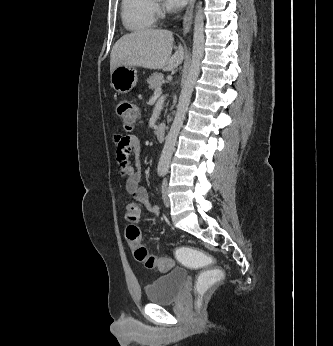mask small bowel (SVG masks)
<instances>
[{
  "label": "small bowel",
  "instance_id": "small-bowel-1",
  "mask_svg": "<svg viewBox=\"0 0 333 346\" xmlns=\"http://www.w3.org/2000/svg\"><path fill=\"white\" fill-rule=\"evenodd\" d=\"M116 141V160L120 168V173L125 177V190L133 199L142 204L150 213L159 214L158 206L151 204L146 189L141 183V164L138 157L141 153V143L138 137L122 136L117 134ZM134 155L136 161L130 162V156Z\"/></svg>",
  "mask_w": 333,
  "mask_h": 346
}]
</instances>
